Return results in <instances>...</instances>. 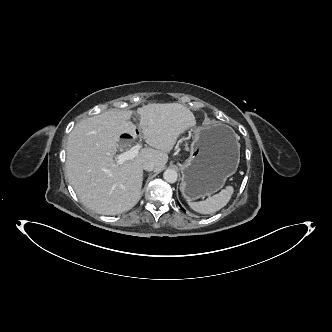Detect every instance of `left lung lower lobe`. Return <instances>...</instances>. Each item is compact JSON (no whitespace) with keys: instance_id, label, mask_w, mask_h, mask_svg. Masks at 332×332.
Here are the masks:
<instances>
[{"instance_id":"obj_1","label":"left lung lower lobe","mask_w":332,"mask_h":332,"mask_svg":"<svg viewBox=\"0 0 332 332\" xmlns=\"http://www.w3.org/2000/svg\"><path fill=\"white\" fill-rule=\"evenodd\" d=\"M178 205L182 208V206L179 204V202H178ZM182 210H184V209L182 208Z\"/></svg>"}]
</instances>
